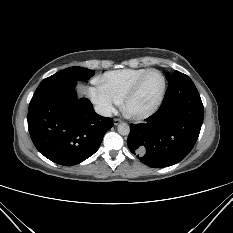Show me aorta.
I'll return each mask as SVG.
<instances>
[{
    "label": "aorta",
    "instance_id": "1",
    "mask_svg": "<svg viewBox=\"0 0 233 233\" xmlns=\"http://www.w3.org/2000/svg\"><path fill=\"white\" fill-rule=\"evenodd\" d=\"M118 132L121 135H128L130 133V127L126 123H121L118 125Z\"/></svg>",
    "mask_w": 233,
    "mask_h": 233
}]
</instances>
